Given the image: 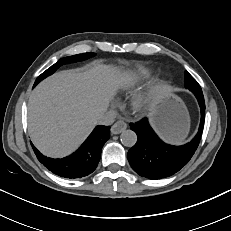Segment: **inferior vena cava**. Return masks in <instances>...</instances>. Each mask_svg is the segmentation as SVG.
<instances>
[{
	"label": "inferior vena cava",
	"mask_w": 231,
	"mask_h": 231,
	"mask_svg": "<svg viewBox=\"0 0 231 231\" xmlns=\"http://www.w3.org/2000/svg\"><path fill=\"white\" fill-rule=\"evenodd\" d=\"M115 118H116L115 111L113 110L106 111L98 118V124L111 125L114 123Z\"/></svg>",
	"instance_id": "1"
}]
</instances>
